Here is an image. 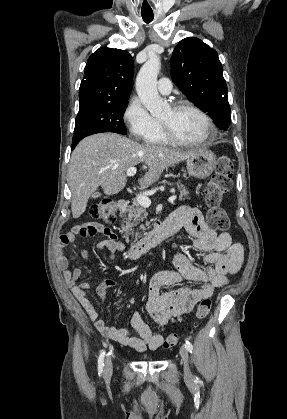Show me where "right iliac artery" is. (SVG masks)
I'll return each mask as SVG.
<instances>
[{"mask_svg": "<svg viewBox=\"0 0 287 419\" xmlns=\"http://www.w3.org/2000/svg\"><path fill=\"white\" fill-rule=\"evenodd\" d=\"M104 357H105V351H101L100 356L98 358V374L100 375L103 371L104 367Z\"/></svg>", "mask_w": 287, "mask_h": 419, "instance_id": "right-iliac-artery-1", "label": "right iliac artery"}]
</instances>
